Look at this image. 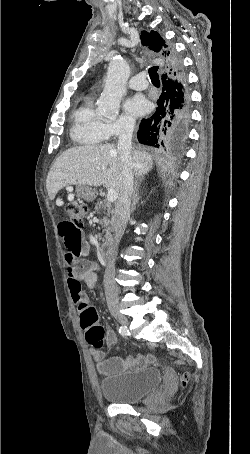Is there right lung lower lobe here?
Listing matches in <instances>:
<instances>
[{
	"label": "right lung lower lobe",
	"mask_w": 250,
	"mask_h": 454,
	"mask_svg": "<svg viewBox=\"0 0 250 454\" xmlns=\"http://www.w3.org/2000/svg\"><path fill=\"white\" fill-rule=\"evenodd\" d=\"M167 52L172 69L162 74V94L156 111L141 120L137 137L145 145L176 148L185 140L190 116L189 98L181 60L173 47L169 46Z\"/></svg>",
	"instance_id": "98d812e1"
}]
</instances>
